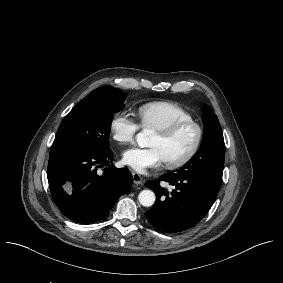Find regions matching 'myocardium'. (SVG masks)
<instances>
[{
    "mask_svg": "<svg viewBox=\"0 0 283 283\" xmlns=\"http://www.w3.org/2000/svg\"><path fill=\"white\" fill-rule=\"evenodd\" d=\"M193 126L196 131L195 142L190 149V151L180 160L175 162H165V165L170 170H176L185 167L188 165L199 153L203 140H204V129L203 126L195 119H180L170 125L163 131L157 132V135L163 140L172 139L181 129L186 126Z\"/></svg>",
    "mask_w": 283,
    "mask_h": 283,
    "instance_id": "f54148a6",
    "label": "myocardium"
}]
</instances>
